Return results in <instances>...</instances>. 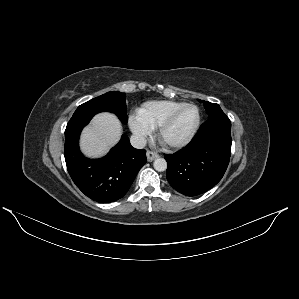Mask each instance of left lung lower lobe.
<instances>
[{
    "label": "left lung lower lobe",
    "mask_w": 299,
    "mask_h": 299,
    "mask_svg": "<svg viewBox=\"0 0 299 299\" xmlns=\"http://www.w3.org/2000/svg\"><path fill=\"white\" fill-rule=\"evenodd\" d=\"M231 143L229 118H209L186 147L165 155L166 177L170 185L186 196H196L211 189L227 169Z\"/></svg>",
    "instance_id": "0a47b994"
}]
</instances>
